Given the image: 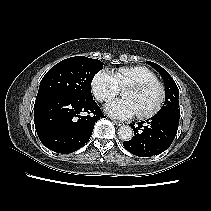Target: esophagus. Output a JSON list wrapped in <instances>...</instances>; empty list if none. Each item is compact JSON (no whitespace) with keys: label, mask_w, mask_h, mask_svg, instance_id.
I'll return each instance as SVG.
<instances>
[{"label":"esophagus","mask_w":211,"mask_h":211,"mask_svg":"<svg viewBox=\"0 0 211 211\" xmlns=\"http://www.w3.org/2000/svg\"><path fill=\"white\" fill-rule=\"evenodd\" d=\"M113 123L116 124L117 126H123L124 125L123 122L117 121V120H114Z\"/></svg>","instance_id":"obj_1"}]
</instances>
